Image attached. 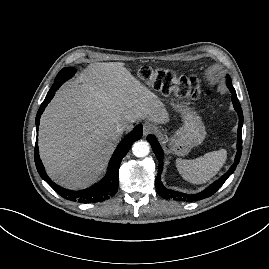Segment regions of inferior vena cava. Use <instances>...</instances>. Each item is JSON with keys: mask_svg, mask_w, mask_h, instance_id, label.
Here are the masks:
<instances>
[{"mask_svg": "<svg viewBox=\"0 0 269 269\" xmlns=\"http://www.w3.org/2000/svg\"><path fill=\"white\" fill-rule=\"evenodd\" d=\"M127 128H128V124H126V123L119 124V125L116 127V133H117L118 135H120V134H122L123 131H125Z\"/></svg>", "mask_w": 269, "mask_h": 269, "instance_id": "inferior-vena-cava-1", "label": "inferior vena cava"}]
</instances>
